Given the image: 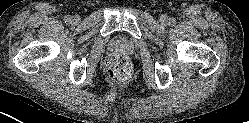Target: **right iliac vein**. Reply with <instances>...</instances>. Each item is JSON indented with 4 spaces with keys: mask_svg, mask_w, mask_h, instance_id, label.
Segmentation results:
<instances>
[{
    "mask_svg": "<svg viewBox=\"0 0 249 123\" xmlns=\"http://www.w3.org/2000/svg\"><path fill=\"white\" fill-rule=\"evenodd\" d=\"M79 20H80V17H79V16H75V17H73V21H74V22L78 23V22H79Z\"/></svg>",
    "mask_w": 249,
    "mask_h": 123,
    "instance_id": "right-iliac-vein-1",
    "label": "right iliac vein"
}]
</instances>
